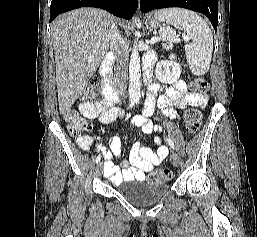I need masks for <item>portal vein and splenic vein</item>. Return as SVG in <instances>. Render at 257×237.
<instances>
[{
    "label": "portal vein and splenic vein",
    "instance_id": "18ae733b",
    "mask_svg": "<svg viewBox=\"0 0 257 237\" xmlns=\"http://www.w3.org/2000/svg\"><path fill=\"white\" fill-rule=\"evenodd\" d=\"M159 40H160V38H158V37H153V38L150 40V43H151V44H154L155 42H157V41H159ZM169 45L172 46V44H169Z\"/></svg>",
    "mask_w": 257,
    "mask_h": 237
}]
</instances>
